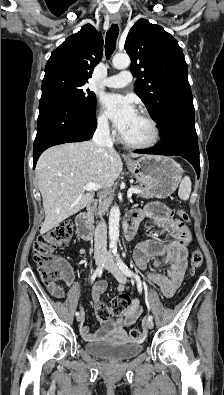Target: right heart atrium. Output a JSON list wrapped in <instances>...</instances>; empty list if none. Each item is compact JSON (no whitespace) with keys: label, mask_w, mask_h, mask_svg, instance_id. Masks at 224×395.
<instances>
[{"label":"right heart atrium","mask_w":224,"mask_h":395,"mask_svg":"<svg viewBox=\"0 0 224 395\" xmlns=\"http://www.w3.org/2000/svg\"><path fill=\"white\" fill-rule=\"evenodd\" d=\"M96 126L103 133H109L111 130L107 116L101 111L96 115Z\"/></svg>","instance_id":"right-heart-atrium-1"}]
</instances>
